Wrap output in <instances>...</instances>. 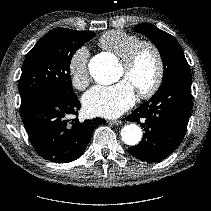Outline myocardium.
<instances>
[{"label": "myocardium", "instance_id": "f54148a6", "mask_svg": "<svg viewBox=\"0 0 211 211\" xmlns=\"http://www.w3.org/2000/svg\"><path fill=\"white\" fill-rule=\"evenodd\" d=\"M145 48L150 49L154 54L156 61V74L152 83L147 88L139 89L137 91L141 98L148 99L157 93L164 79L165 65L160 48L151 40H140L128 51L124 58L121 59V65L126 70L132 68L140 52Z\"/></svg>", "mask_w": 211, "mask_h": 211}]
</instances>
